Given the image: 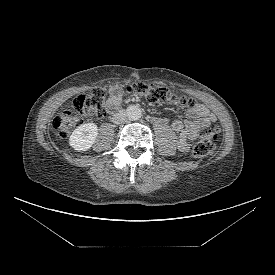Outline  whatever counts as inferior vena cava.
I'll list each match as a JSON object with an SVG mask.
<instances>
[{"mask_svg": "<svg viewBox=\"0 0 275 275\" xmlns=\"http://www.w3.org/2000/svg\"><path fill=\"white\" fill-rule=\"evenodd\" d=\"M127 119V114L125 111H119L118 113L113 115L112 121L116 124H121L125 122Z\"/></svg>", "mask_w": 275, "mask_h": 275, "instance_id": "602c4592", "label": "inferior vena cava"}]
</instances>
